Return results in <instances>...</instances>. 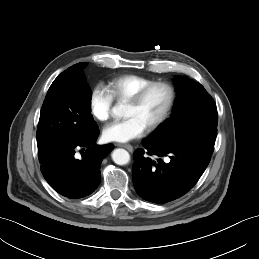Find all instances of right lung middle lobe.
Segmentation results:
<instances>
[{
	"label": "right lung middle lobe",
	"mask_w": 259,
	"mask_h": 259,
	"mask_svg": "<svg viewBox=\"0 0 259 259\" xmlns=\"http://www.w3.org/2000/svg\"><path fill=\"white\" fill-rule=\"evenodd\" d=\"M86 64H75L70 78L50 86L37 128L38 153L72 144L97 127L91 115L92 92L82 72Z\"/></svg>",
	"instance_id": "obj_1"
}]
</instances>
